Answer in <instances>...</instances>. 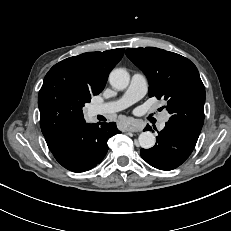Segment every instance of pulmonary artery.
I'll return each instance as SVG.
<instances>
[{
  "instance_id": "1",
  "label": "pulmonary artery",
  "mask_w": 231,
  "mask_h": 231,
  "mask_svg": "<svg viewBox=\"0 0 231 231\" xmlns=\"http://www.w3.org/2000/svg\"><path fill=\"white\" fill-rule=\"evenodd\" d=\"M146 92L147 82L144 75L134 73L131 77L130 85L122 97L111 102L94 105L90 108L89 112L92 116L116 113L140 100L146 94ZM169 117L170 116L167 112L162 114L159 122L160 129L165 127Z\"/></svg>"
}]
</instances>
